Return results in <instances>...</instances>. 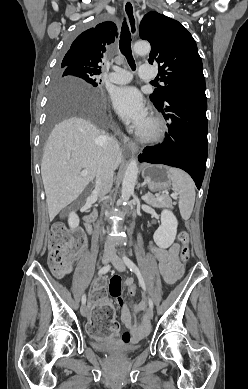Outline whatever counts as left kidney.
I'll use <instances>...</instances> for the list:
<instances>
[{"label": "left kidney", "mask_w": 248, "mask_h": 389, "mask_svg": "<svg viewBox=\"0 0 248 389\" xmlns=\"http://www.w3.org/2000/svg\"><path fill=\"white\" fill-rule=\"evenodd\" d=\"M178 221L175 215L169 210H163L161 213V225L153 235L154 242L160 248L170 247L177 234Z\"/></svg>", "instance_id": "obj_1"}]
</instances>
